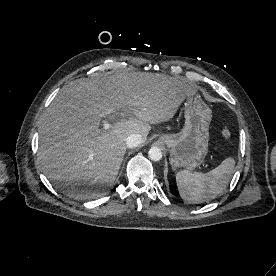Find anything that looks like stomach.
Segmentation results:
<instances>
[{
  "label": "stomach",
  "instance_id": "1",
  "mask_svg": "<svg viewBox=\"0 0 276 276\" xmlns=\"http://www.w3.org/2000/svg\"><path fill=\"white\" fill-rule=\"evenodd\" d=\"M185 124L178 134H162L160 141L170 152L172 168L194 170L204 163L208 153L211 109L198 94L186 97Z\"/></svg>",
  "mask_w": 276,
  "mask_h": 276
}]
</instances>
